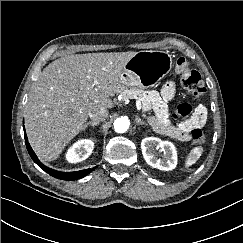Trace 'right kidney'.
<instances>
[{
	"mask_svg": "<svg viewBox=\"0 0 243 243\" xmlns=\"http://www.w3.org/2000/svg\"><path fill=\"white\" fill-rule=\"evenodd\" d=\"M93 148L94 142L92 140H79L68 149L66 159L70 163L81 162L90 156Z\"/></svg>",
	"mask_w": 243,
	"mask_h": 243,
	"instance_id": "right-kidney-1",
	"label": "right kidney"
}]
</instances>
